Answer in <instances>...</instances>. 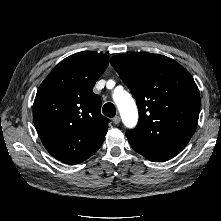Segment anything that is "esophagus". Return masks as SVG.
<instances>
[{
	"mask_svg": "<svg viewBox=\"0 0 221 221\" xmlns=\"http://www.w3.org/2000/svg\"><path fill=\"white\" fill-rule=\"evenodd\" d=\"M120 116H115L114 118H113V123L115 124V125H117V124H119L120 123Z\"/></svg>",
	"mask_w": 221,
	"mask_h": 221,
	"instance_id": "obj_1",
	"label": "esophagus"
}]
</instances>
